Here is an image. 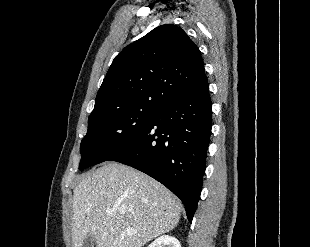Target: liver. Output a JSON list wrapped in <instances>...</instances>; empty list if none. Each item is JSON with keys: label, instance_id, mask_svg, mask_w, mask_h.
<instances>
[{"label": "liver", "instance_id": "6515ba94", "mask_svg": "<svg viewBox=\"0 0 310 247\" xmlns=\"http://www.w3.org/2000/svg\"><path fill=\"white\" fill-rule=\"evenodd\" d=\"M73 192L72 247H81L88 234L96 247H142L180 220L182 204L176 196L148 175L117 162L84 176ZM127 228L136 234L129 235Z\"/></svg>", "mask_w": 310, "mask_h": 247}]
</instances>
